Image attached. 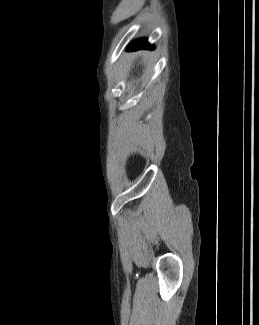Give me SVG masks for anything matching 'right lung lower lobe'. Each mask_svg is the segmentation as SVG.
I'll return each mask as SVG.
<instances>
[{"mask_svg":"<svg viewBox=\"0 0 259 325\" xmlns=\"http://www.w3.org/2000/svg\"><path fill=\"white\" fill-rule=\"evenodd\" d=\"M143 48H151L153 49V45H149L147 39H139L130 45L128 48L130 51H135Z\"/></svg>","mask_w":259,"mask_h":325,"instance_id":"98d812e1","label":"right lung lower lobe"}]
</instances>
